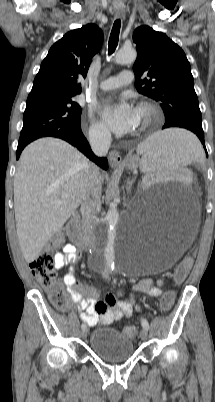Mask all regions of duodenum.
I'll return each instance as SVG.
<instances>
[{
    "mask_svg": "<svg viewBox=\"0 0 215 402\" xmlns=\"http://www.w3.org/2000/svg\"><path fill=\"white\" fill-rule=\"evenodd\" d=\"M65 232L69 240L78 248L85 251H88L91 248L90 241L80 231L78 214L72 215L67 221Z\"/></svg>",
    "mask_w": 215,
    "mask_h": 402,
    "instance_id": "1",
    "label": "duodenum"
}]
</instances>
